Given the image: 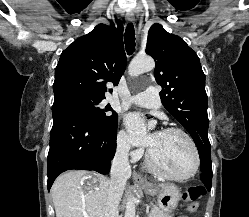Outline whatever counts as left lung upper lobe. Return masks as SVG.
Wrapping results in <instances>:
<instances>
[{
  "instance_id": "obj_1",
  "label": "left lung upper lobe",
  "mask_w": 249,
  "mask_h": 217,
  "mask_svg": "<svg viewBox=\"0 0 249 217\" xmlns=\"http://www.w3.org/2000/svg\"><path fill=\"white\" fill-rule=\"evenodd\" d=\"M146 53L156 62L154 76L162 87V104L193 138L201 169L211 168L208 98L197 54L179 36L157 23L149 29Z\"/></svg>"
}]
</instances>
